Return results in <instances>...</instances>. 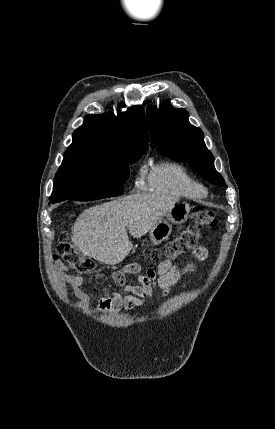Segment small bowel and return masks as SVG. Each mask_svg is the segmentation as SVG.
<instances>
[{
    "mask_svg": "<svg viewBox=\"0 0 275 429\" xmlns=\"http://www.w3.org/2000/svg\"><path fill=\"white\" fill-rule=\"evenodd\" d=\"M193 256L196 261H203L207 257V251L203 246L197 247ZM196 269V262L185 261L180 264H173L170 260H164L155 271L149 268L145 274L141 272L138 263L126 265L122 271L113 275V280L122 287V293L111 291L106 287H100L99 309L105 313H115L121 309L135 311L151 298L155 289H160L166 295L170 289L178 283L184 274ZM58 281L61 289L69 284L75 296L78 298V305L83 306L88 301V294L85 291V280L82 276H75L67 272L64 264H57ZM126 274H139L138 285L126 283Z\"/></svg>",
    "mask_w": 275,
    "mask_h": 429,
    "instance_id": "c3829d8e",
    "label": "small bowel"
}]
</instances>
